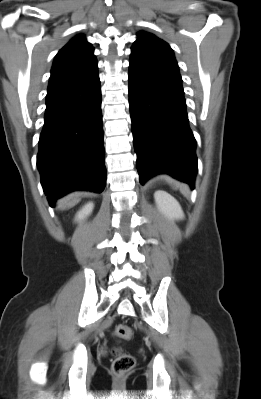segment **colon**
I'll list each match as a JSON object with an SVG mask.
<instances>
[{
  "instance_id": "colon-1",
  "label": "colon",
  "mask_w": 261,
  "mask_h": 399,
  "mask_svg": "<svg viewBox=\"0 0 261 399\" xmlns=\"http://www.w3.org/2000/svg\"><path fill=\"white\" fill-rule=\"evenodd\" d=\"M114 336L128 340L133 336V330L128 325H117L114 328ZM115 358L112 363V370L115 374L122 375L129 372L135 363L134 357L127 353L115 351Z\"/></svg>"
}]
</instances>
